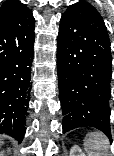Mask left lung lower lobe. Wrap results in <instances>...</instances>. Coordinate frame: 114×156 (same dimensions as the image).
<instances>
[{
  "label": "left lung lower lobe",
  "mask_w": 114,
  "mask_h": 156,
  "mask_svg": "<svg viewBox=\"0 0 114 156\" xmlns=\"http://www.w3.org/2000/svg\"><path fill=\"white\" fill-rule=\"evenodd\" d=\"M111 61L101 15L84 1L69 6L61 17L57 39L63 133L92 126L112 140L108 103Z\"/></svg>",
  "instance_id": "obj_1"
}]
</instances>
